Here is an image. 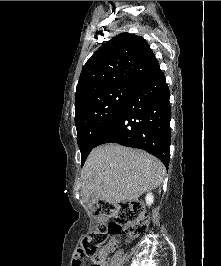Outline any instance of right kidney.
<instances>
[{"instance_id":"obj_1","label":"right kidney","mask_w":221,"mask_h":266,"mask_svg":"<svg viewBox=\"0 0 221 266\" xmlns=\"http://www.w3.org/2000/svg\"><path fill=\"white\" fill-rule=\"evenodd\" d=\"M146 204L148 205V206H151L152 204H153V202H154V196H153V194L152 193H148L147 195H146Z\"/></svg>"}]
</instances>
